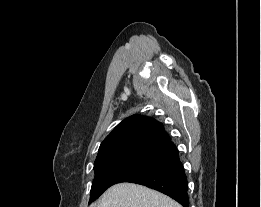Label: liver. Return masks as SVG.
<instances>
[{
  "mask_svg": "<svg viewBox=\"0 0 261 207\" xmlns=\"http://www.w3.org/2000/svg\"><path fill=\"white\" fill-rule=\"evenodd\" d=\"M91 207H182L170 197L133 183L110 187L97 204Z\"/></svg>",
  "mask_w": 261,
  "mask_h": 207,
  "instance_id": "obj_1",
  "label": "liver"
}]
</instances>
